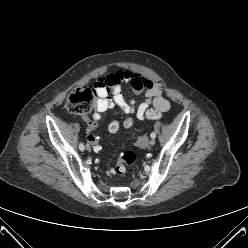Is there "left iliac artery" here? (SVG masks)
Masks as SVG:
<instances>
[{"label":"left iliac artery","instance_id":"1","mask_svg":"<svg viewBox=\"0 0 248 248\" xmlns=\"http://www.w3.org/2000/svg\"><path fill=\"white\" fill-rule=\"evenodd\" d=\"M150 136H151L152 139H155L156 133L155 132H152Z\"/></svg>","mask_w":248,"mask_h":248}]
</instances>
